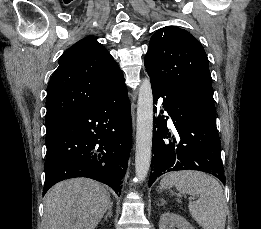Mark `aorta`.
Segmentation results:
<instances>
[{
  "label": "aorta",
  "instance_id": "aorta-1",
  "mask_svg": "<svg viewBox=\"0 0 261 229\" xmlns=\"http://www.w3.org/2000/svg\"><path fill=\"white\" fill-rule=\"evenodd\" d=\"M136 123L135 173L143 183L150 169L153 137V94L149 78H143L140 84Z\"/></svg>",
  "mask_w": 261,
  "mask_h": 229
}]
</instances>
